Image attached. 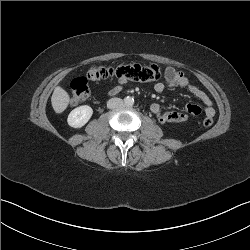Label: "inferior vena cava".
Masks as SVG:
<instances>
[{
    "label": "inferior vena cava",
    "mask_w": 250,
    "mask_h": 250,
    "mask_svg": "<svg viewBox=\"0 0 250 250\" xmlns=\"http://www.w3.org/2000/svg\"><path fill=\"white\" fill-rule=\"evenodd\" d=\"M121 106H123V100L120 98H111L107 102V107L109 109H116V108H120Z\"/></svg>",
    "instance_id": "602c4592"
}]
</instances>
